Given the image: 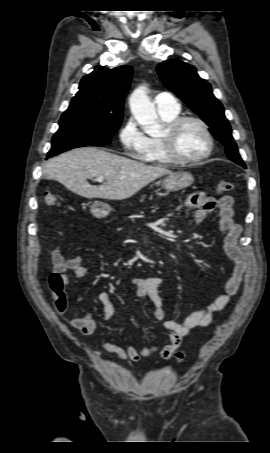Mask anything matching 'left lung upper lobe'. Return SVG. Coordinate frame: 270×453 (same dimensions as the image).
<instances>
[{
    "label": "left lung upper lobe",
    "instance_id": "5c2ea615",
    "mask_svg": "<svg viewBox=\"0 0 270 453\" xmlns=\"http://www.w3.org/2000/svg\"><path fill=\"white\" fill-rule=\"evenodd\" d=\"M157 72L163 83L177 94L200 118L210 126L212 135L225 145L230 160L246 168L232 130L224 115L222 104L212 93L211 85L200 78L196 68L177 59L160 63Z\"/></svg>",
    "mask_w": 270,
    "mask_h": 453
}]
</instances>
